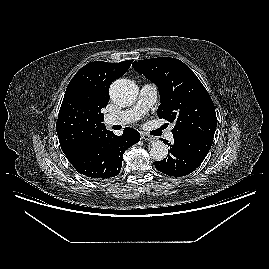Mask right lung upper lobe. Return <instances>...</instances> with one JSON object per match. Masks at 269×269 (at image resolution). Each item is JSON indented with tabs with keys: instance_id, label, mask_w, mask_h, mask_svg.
<instances>
[{
	"instance_id": "cb5924a9",
	"label": "right lung upper lobe",
	"mask_w": 269,
	"mask_h": 269,
	"mask_svg": "<svg viewBox=\"0 0 269 269\" xmlns=\"http://www.w3.org/2000/svg\"><path fill=\"white\" fill-rule=\"evenodd\" d=\"M133 60L117 64L91 62L83 66L66 89L56 130L65 155L100 137L108 130L102 123L111 83L124 75Z\"/></svg>"
}]
</instances>
